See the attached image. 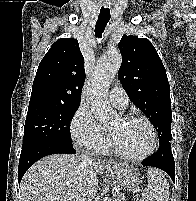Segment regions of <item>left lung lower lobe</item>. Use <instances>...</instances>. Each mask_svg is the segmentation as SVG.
Wrapping results in <instances>:
<instances>
[{
    "mask_svg": "<svg viewBox=\"0 0 196 201\" xmlns=\"http://www.w3.org/2000/svg\"><path fill=\"white\" fill-rule=\"evenodd\" d=\"M143 165L157 167L165 171L175 181V163L171 152L170 142L160 144L158 151L146 158Z\"/></svg>",
    "mask_w": 196,
    "mask_h": 201,
    "instance_id": "0a47b994",
    "label": "left lung lower lobe"
}]
</instances>
